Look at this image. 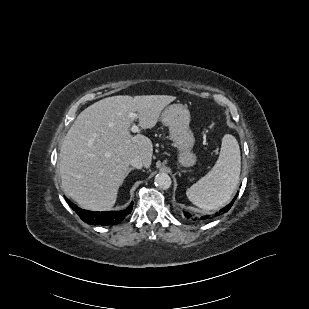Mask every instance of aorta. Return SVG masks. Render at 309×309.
Returning a JSON list of instances; mask_svg holds the SVG:
<instances>
[{
    "mask_svg": "<svg viewBox=\"0 0 309 309\" xmlns=\"http://www.w3.org/2000/svg\"><path fill=\"white\" fill-rule=\"evenodd\" d=\"M172 184L171 178L166 173H159L155 176V185L163 190H167L170 188Z\"/></svg>",
    "mask_w": 309,
    "mask_h": 309,
    "instance_id": "762f6f07",
    "label": "aorta"
}]
</instances>
